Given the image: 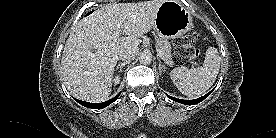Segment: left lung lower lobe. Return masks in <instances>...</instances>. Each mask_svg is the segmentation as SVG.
<instances>
[{"mask_svg": "<svg viewBox=\"0 0 276 138\" xmlns=\"http://www.w3.org/2000/svg\"><path fill=\"white\" fill-rule=\"evenodd\" d=\"M214 90V89H213ZM211 90L209 93H207L206 95L200 97V98H197V99H194V100H182V99H177L175 97H172V96H169L167 95L171 100H174L176 102H179V103H182V104H185V105H194V104H197V103H200L201 101H203L205 98H207L211 92L213 91Z\"/></svg>", "mask_w": 276, "mask_h": 138, "instance_id": "1", "label": "left lung lower lobe"}]
</instances>
